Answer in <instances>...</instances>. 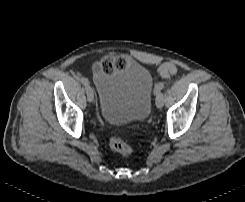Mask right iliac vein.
I'll use <instances>...</instances> for the list:
<instances>
[{
  "mask_svg": "<svg viewBox=\"0 0 245 202\" xmlns=\"http://www.w3.org/2000/svg\"><path fill=\"white\" fill-rule=\"evenodd\" d=\"M86 94H87L88 101L93 102L94 101V91L92 87L86 86Z\"/></svg>",
  "mask_w": 245,
  "mask_h": 202,
  "instance_id": "obj_1",
  "label": "right iliac vein"
}]
</instances>
